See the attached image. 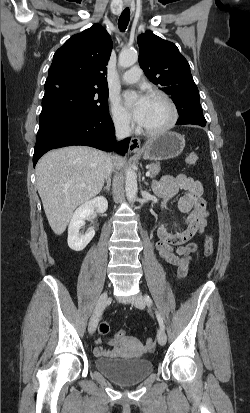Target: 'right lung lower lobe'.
<instances>
[{"label":"right lung lower lobe","mask_w":250,"mask_h":413,"mask_svg":"<svg viewBox=\"0 0 250 413\" xmlns=\"http://www.w3.org/2000/svg\"><path fill=\"white\" fill-rule=\"evenodd\" d=\"M112 119L108 114L61 113L39 124L33 155L35 166L47 151L70 145H86L124 155L130 139L116 142Z\"/></svg>","instance_id":"1"}]
</instances>
